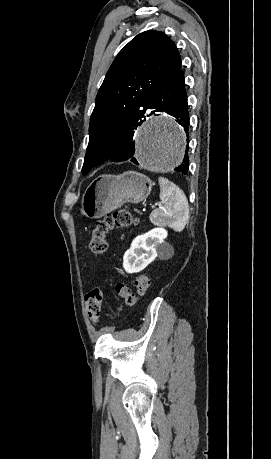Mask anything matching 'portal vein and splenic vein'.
<instances>
[{
  "mask_svg": "<svg viewBox=\"0 0 271 459\" xmlns=\"http://www.w3.org/2000/svg\"><path fill=\"white\" fill-rule=\"evenodd\" d=\"M158 206H159V204H158ZM151 207H152L151 208L152 210L155 209V204H151Z\"/></svg>",
  "mask_w": 271,
  "mask_h": 459,
  "instance_id": "obj_1",
  "label": "portal vein and splenic vein"
}]
</instances>
